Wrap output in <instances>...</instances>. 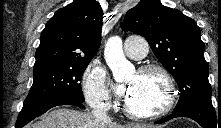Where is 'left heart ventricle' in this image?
<instances>
[{"mask_svg":"<svg viewBox=\"0 0 221 128\" xmlns=\"http://www.w3.org/2000/svg\"><path fill=\"white\" fill-rule=\"evenodd\" d=\"M127 81L131 90L125 100L134 111L156 109L165 98L164 81L156 73L133 74Z\"/></svg>","mask_w":221,"mask_h":128,"instance_id":"1","label":"left heart ventricle"}]
</instances>
